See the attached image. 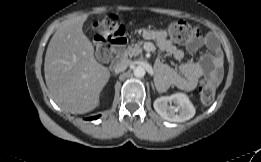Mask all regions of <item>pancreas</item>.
<instances>
[{"label":"pancreas","mask_w":261,"mask_h":162,"mask_svg":"<svg viewBox=\"0 0 261 162\" xmlns=\"http://www.w3.org/2000/svg\"><path fill=\"white\" fill-rule=\"evenodd\" d=\"M142 41H138L137 43H133L124 51V57H133L142 53Z\"/></svg>","instance_id":"obj_1"}]
</instances>
